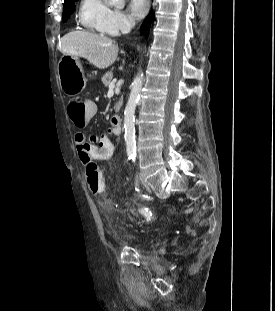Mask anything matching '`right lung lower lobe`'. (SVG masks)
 <instances>
[{
	"label": "right lung lower lobe",
	"mask_w": 275,
	"mask_h": 311,
	"mask_svg": "<svg viewBox=\"0 0 275 311\" xmlns=\"http://www.w3.org/2000/svg\"><path fill=\"white\" fill-rule=\"evenodd\" d=\"M152 13L151 12L149 14V16L144 20L142 26H141V31L143 32V34H145L146 36L148 35L149 33V29H150V24H151V21H152Z\"/></svg>",
	"instance_id": "1"
}]
</instances>
